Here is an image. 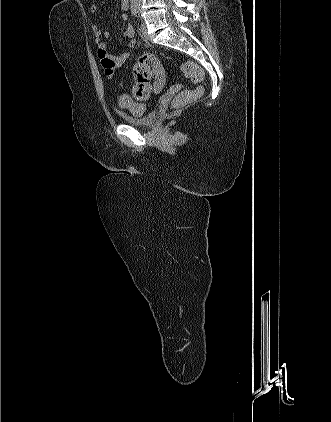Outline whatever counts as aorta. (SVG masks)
I'll return each instance as SVG.
<instances>
[{
  "instance_id": "762f6f07",
  "label": "aorta",
  "mask_w": 331,
  "mask_h": 422,
  "mask_svg": "<svg viewBox=\"0 0 331 422\" xmlns=\"http://www.w3.org/2000/svg\"><path fill=\"white\" fill-rule=\"evenodd\" d=\"M141 0H130V9L132 12H137L140 7Z\"/></svg>"
}]
</instances>
